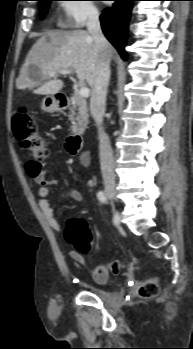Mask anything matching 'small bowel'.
I'll return each mask as SVG.
<instances>
[{
    "instance_id": "1",
    "label": "small bowel",
    "mask_w": 193,
    "mask_h": 349,
    "mask_svg": "<svg viewBox=\"0 0 193 349\" xmlns=\"http://www.w3.org/2000/svg\"><path fill=\"white\" fill-rule=\"evenodd\" d=\"M84 164H88V158L83 159ZM26 171L28 175L35 180L39 185L38 189V205L39 208L48 222V224L57 232L61 233V227L55 216L54 209L52 208L48 199L50 195V185L54 184L53 180L47 177V171L43 168L41 163L29 161L26 164ZM65 198L71 199L78 203H83L82 195L75 189H67L63 193ZM70 257L78 264L84 265L85 259L82 254L71 251ZM120 267L116 262H108L107 264H100L90 269V275L94 282L98 285H104L108 282L110 273H119Z\"/></svg>"
}]
</instances>
